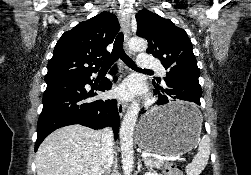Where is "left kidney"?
<instances>
[{
  "label": "left kidney",
  "instance_id": "5707ae66",
  "mask_svg": "<svg viewBox=\"0 0 251 175\" xmlns=\"http://www.w3.org/2000/svg\"><path fill=\"white\" fill-rule=\"evenodd\" d=\"M145 175H159L156 171H146Z\"/></svg>",
  "mask_w": 251,
  "mask_h": 175
}]
</instances>
